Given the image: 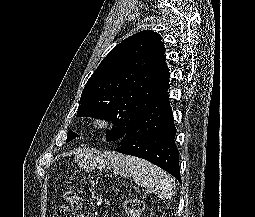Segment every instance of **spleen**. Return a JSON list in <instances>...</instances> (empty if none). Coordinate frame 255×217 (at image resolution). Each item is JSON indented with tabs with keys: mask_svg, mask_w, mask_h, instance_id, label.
<instances>
[{
	"mask_svg": "<svg viewBox=\"0 0 255 217\" xmlns=\"http://www.w3.org/2000/svg\"><path fill=\"white\" fill-rule=\"evenodd\" d=\"M108 159L110 160V167L116 174L131 176L136 184L147 188L158 198L170 199L175 195L174 179L150 162L120 154H110Z\"/></svg>",
	"mask_w": 255,
	"mask_h": 217,
	"instance_id": "1",
	"label": "spleen"
}]
</instances>
